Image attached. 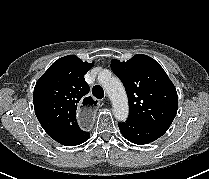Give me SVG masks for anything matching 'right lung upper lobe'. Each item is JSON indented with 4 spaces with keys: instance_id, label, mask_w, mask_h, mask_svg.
<instances>
[{
    "instance_id": "cb5924a9",
    "label": "right lung upper lobe",
    "mask_w": 209,
    "mask_h": 179,
    "mask_svg": "<svg viewBox=\"0 0 209 179\" xmlns=\"http://www.w3.org/2000/svg\"><path fill=\"white\" fill-rule=\"evenodd\" d=\"M93 64L68 55L55 61L36 82L35 114L46 133L60 144L68 145L85 132L77 123V108L97 104L87 95L90 88L84 80Z\"/></svg>"
}]
</instances>
